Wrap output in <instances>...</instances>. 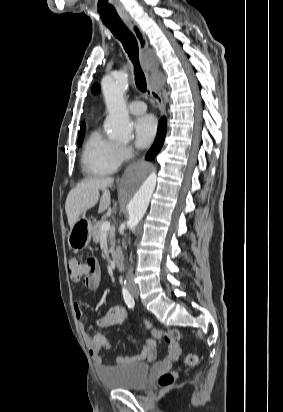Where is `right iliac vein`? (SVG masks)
Returning a JSON list of instances; mask_svg holds the SVG:
<instances>
[{"label":"right iliac vein","mask_w":283,"mask_h":412,"mask_svg":"<svg viewBox=\"0 0 283 412\" xmlns=\"http://www.w3.org/2000/svg\"><path fill=\"white\" fill-rule=\"evenodd\" d=\"M131 293H132L133 295H138V294H139V290H138V289H132V290H131Z\"/></svg>","instance_id":"obj_1"}]
</instances>
